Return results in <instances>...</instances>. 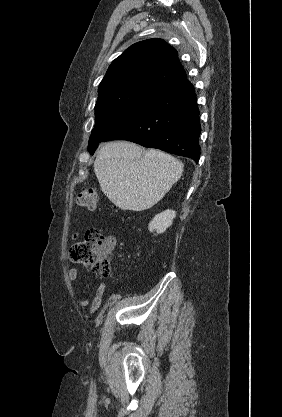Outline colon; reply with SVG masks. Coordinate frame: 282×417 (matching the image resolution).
<instances>
[{"label":"colon","mask_w":282,"mask_h":417,"mask_svg":"<svg viewBox=\"0 0 282 417\" xmlns=\"http://www.w3.org/2000/svg\"><path fill=\"white\" fill-rule=\"evenodd\" d=\"M80 204L87 209H95L98 205V193L89 188L79 196ZM109 243L97 229H90L83 241L77 242L71 249L72 261L97 271L102 276L111 275V265L108 259Z\"/></svg>","instance_id":"colon-1"}]
</instances>
